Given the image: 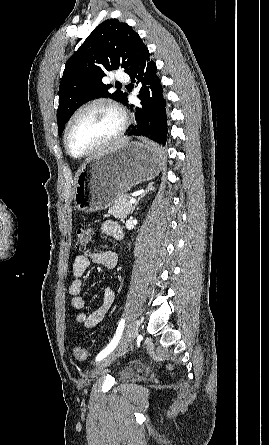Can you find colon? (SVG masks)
<instances>
[{
  "label": "colon",
  "mask_w": 269,
  "mask_h": 445,
  "mask_svg": "<svg viewBox=\"0 0 269 445\" xmlns=\"http://www.w3.org/2000/svg\"><path fill=\"white\" fill-rule=\"evenodd\" d=\"M93 236V230L90 227L82 226L77 229L75 235V245L77 250H84L89 245ZM73 354L78 360H85L88 356V352L83 347H75Z\"/></svg>",
  "instance_id": "5ec220e1"
}]
</instances>
